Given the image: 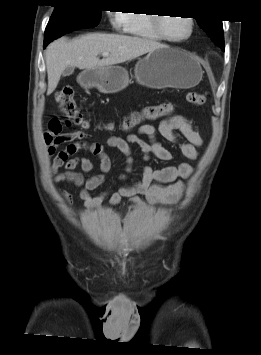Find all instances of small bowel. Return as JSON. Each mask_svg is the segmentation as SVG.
Here are the masks:
<instances>
[{
	"label": "small bowel",
	"mask_w": 261,
	"mask_h": 355,
	"mask_svg": "<svg viewBox=\"0 0 261 355\" xmlns=\"http://www.w3.org/2000/svg\"><path fill=\"white\" fill-rule=\"evenodd\" d=\"M61 129V124H60ZM145 136L148 141L142 139ZM159 136L174 145L181 154L189 159L198 157L197 147L202 144V138L190 121L182 115L176 114L164 119L156 128L152 125H143L137 134L127 136H111L106 145L118 150L126 160L125 173L119 179L124 181L133 171L134 155L132 144L140 149L142 159L149 161L154 156L162 161H170L173 154L159 140ZM90 135L83 131H69L61 133L49 130L43 134V142L49 157L53 158L52 172L54 183H69L80 188L79 197L84 202L85 212H99L103 202L108 199L110 205L120 204L123 198H129L137 207L146 208L147 205H172L177 203L184 192V182L180 179L188 178L193 168L188 163L176 166L154 168L146 164L142 168L141 181L116 189H107L97 196L91 192L100 187L105 181V175L111 170V160L105 152V145L100 142H89ZM65 146L59 150L60 146ZM85 150L98 157V173L85 179L83 173L96 169L94 163L84 157H73L79 151ZM63 172H58L60 168ZM80 168L83 172L76 171ZM156 183H164L159 185ZM66 202H72V195L65 190L60 191Z\"/></svg>",
	"instance_id": "obj_1"
}]
</instances>
